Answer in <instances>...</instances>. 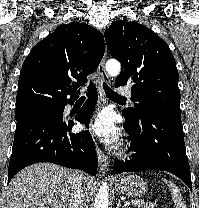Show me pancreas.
<instances>
[{
    "instance_id": "1",
    "label": "pancreas",
    "mask_w": 199,
    "mask_h": 208,
    "mask_svg": "<svg viewBox=\"0 0 199 208\" xmlns=\"http://www.w3.org/2000/svg\"><path fill=\"white\" fill-rule=\"evenodd\" d=\"M132 205L138 206L139 208H154V205L151 203H146L142 200H133Z\"/></svg>"
}]
</instances>
